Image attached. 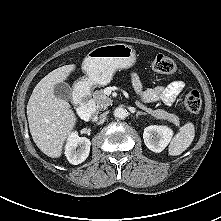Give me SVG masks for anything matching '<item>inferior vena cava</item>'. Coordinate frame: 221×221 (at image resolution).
<instances>
[{"label": "inferior vena cava", "mask_w": 221, "mask_h": 221, "mask_svg": "<svg viewBox=\"0 0 221 221\" xmlns=\"http://www.w3.org/2000/svg\"><path fill=\"white\" fill-rule=\"evenodd\" d=\"M107 113H103L99 116L100 120H104L106 117Z\"/></svg>", "instance_id": "1"}]
</instances>
